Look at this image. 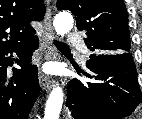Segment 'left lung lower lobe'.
Returning <instances> with one entry per match:
<instances>
[{"mask_svg":"<svg viewBox=\"0 0 142 119\" xmlns=\"http://www.w3.org/2000/svg\"><path fill=\"white\" fill-rule=\"evenodd\" d=\"M91 81L68 83L66 106L74 119H122L142 102L131 53H95L86 62Z\"/></svg>","mask_w":142,"mask_h":119,"instance_id":"1","label":"left lung lower lobe"}]
</instances>
